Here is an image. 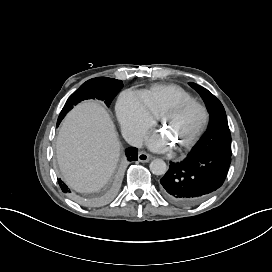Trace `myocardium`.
<instances>
[{
  "instance_id": "f54148a6",
  "label": "myocardium",
  "mask_w": 272,
  "mask_h": 272,
  "mask_svg": "<svg viewBox=\"0 0 272 272\" xmlns=\"http://www.w3.org/2000/svg\"><path fill=\"white\" fill-rule=\"evenodd\" d=\"M189 109H196L199 112V120L196 126L191 131L189 137L183 141L184 147H189L192 145L196 138L199 136L201 130L203 129L205 122L207 120V111L206 108L200 103L193 100H174L162 111L160 118L161 121H165V116L168 113H179L183 111H187Z\"/></svg>"
}]
</instances>
